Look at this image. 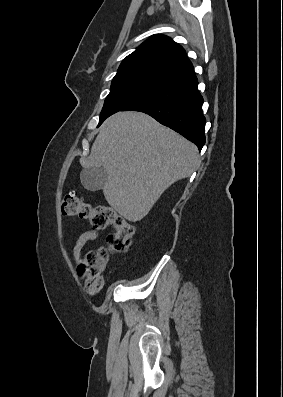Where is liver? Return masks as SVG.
Returning a JSON list of instances; mask_svg holds the SVG:
<instances>
[{
    "instance_id": "obj_1",
    "label": "liver",
    "mask_w": 283,
    "mask_h": 397,
    "mask_svg": "<svg viewBox=\"0 0 283 397\" xmlns=\"http://www.w3.org/2000/svg\"><path fill=\"white\" fill-rule=\"evenodd\" d=\"M81 165L106 171L108 204L137 222L167 188L197 169L199 154L193 143L149 115L127 111L105 120Z\"/></svg>"
}]
</instances>
